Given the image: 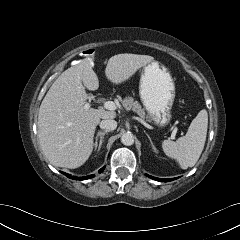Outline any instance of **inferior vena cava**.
<instances>
[{
	"label": "inferior vena cava",
	"instance_id": "1",
	"mask_svg": "<svg viewBox=\"0 0 240 240\" xmlns=\"http://www.w3.org/2000/svg\"><path fill=\"white\" fill-rule=\"evenodd\" d=\"M116 127H117V122L112 119H104L100 122V128L104 129L105 131L115 130Z\"/></svg>",
	"mask_w": 240,
	"mask_h": 240
}]
</instances>
